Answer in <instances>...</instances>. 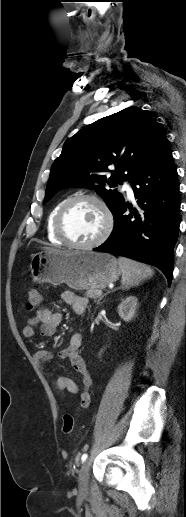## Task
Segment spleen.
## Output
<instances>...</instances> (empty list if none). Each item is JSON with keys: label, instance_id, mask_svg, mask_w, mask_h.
I'll use <instances>...</instances> for the list:
<instances>
[{"label": "spleen", "instance_id": "obj_1", "mask_svg": "<svg viewBox=\"0 0 186 517\" xmlns=\"http://www.w3.org/2000/svg\"><path fill=\"white\" fill-rule=\"evenodd\" d=\"M118 264L122 272L121 282L125 288L139 285L154 273L149 266L128 258L119 257Z\"/></svg>", "mask_w": 186, "mask_h": 517}]
</instances>
